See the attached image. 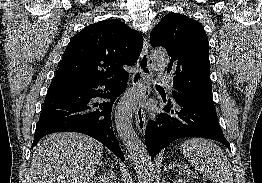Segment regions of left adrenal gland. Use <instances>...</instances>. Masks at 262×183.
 Returning a JSON list of instances; mask_svg holds the SVG:
<instances>
[{
    "mask_svg": "<svg viewBox=\"0 0 262 183\" xmlns=\"http://www.w3.org/2000/svg\"><path fill=\"white\" fill-rule=\"evenodd\" d=\"M172 168H173L172 164H169L168 166L165 167L164 170L166 171L167 169H172Z\"/></svg>",
    "mask_w": 262,
    "mask_h": 183,
    "instance_id": "1",
    "label": "left adrenal gland"
}]
</instances>
